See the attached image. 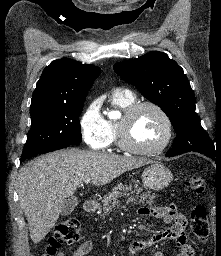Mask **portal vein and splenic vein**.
I'll list each match as a JSON object with an SVG mask.
<instances>
[{
	"mask_svg": "<svg viewBox=\"0 0 221 256\" xmlns=\"http://www.w3.org/2000/svg\"><path fill=\"white\" fill-rule=\"evenodd\" d=\"M90 181H91L90 178H87V179L84 180V182H85L86 184L90 183Z\"/></svg>",
	"mask_w": 221,
	"mask_h": 256,
	"instance_id": "1",
	"label": "portal vein and splenic vein"
}]
</instances>
